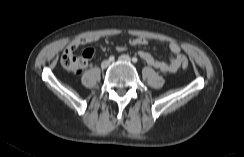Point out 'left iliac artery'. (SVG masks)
<instances>
[{
    "mask_svg": "<svg viewBox=\"0 0 244 157\" xmlns=\"http://www.w3.org/2000/svg\"><path fill=\"white\" fill-rule=\"evenodd\" d=\"M132 61H133L134 63H137V62H138V59H137L136 57H133V58H132Z\"/></svg>",
    "mask_w": 244,
    "mask_h": 157,
    "instance_id": "obj_1",
    "label": "left iliac artery"
}]
</instances>
